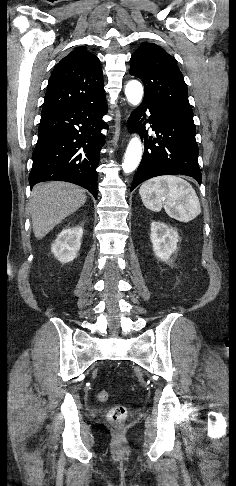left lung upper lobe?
Returning a JSON list of instances; mask_svg holds the SVG:
<instances>
[{"label": "left lung upper lobe", "mask_w": 236, "mask_h": 486, "mask_svg": "<svg viewBox=\"0 0 236 486\" xmlns=\"http://www.w3.org/2000/svg\"><path fill=\"white\" fill-rule=\"evenodd\" d=\"M130 74L144 84V99L170 114L193 122L188 90L176 60L154 43H142L131 56Z\"/></svg>", "instance_id": "5c2ea615"}]
</instances>
